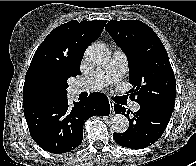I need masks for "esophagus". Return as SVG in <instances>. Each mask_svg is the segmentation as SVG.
I'll list each match as a JSON object with an SVG mask.
<instances>
[{
	"label": "esophagus",
	"mask_w": 196,
	"mask_h": 166,
	"mask_svg": "<svg viewBox=\"0 0 196 166\" xmlns=\"http://www.w3.org/2000/svg\"><path fill=\"white\" fill-rule=\"evenodd\" d=\"M109 104H110V107H111V112L112 114H114V102L112 100H109Z\"/></svg>",
	"instance_id": "1"
}]
</instances>
